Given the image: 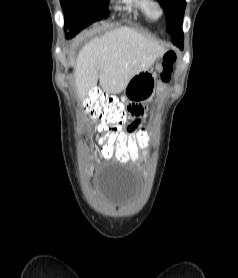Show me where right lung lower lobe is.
I'll return each mask as SVG.
<instances>
[{
  "instance_id": "right-lung-lower-lobe-1",
  "label": "right lung lower lobe",
  "mask_w": 238,
  "mask_h": 278,
  "mask_svg": "<svg viewBox=\"0 0 238 278\" xmlns=\"http://www.w3.org/2000/svg\"><path fill=\"white\" fill-rule=\"evenodd\" d=\"M64 14L66 28L70 30V33L67 34V37H71L79 31L80 15L75 11H68Z\"/></svg>"
}]
</instances>
